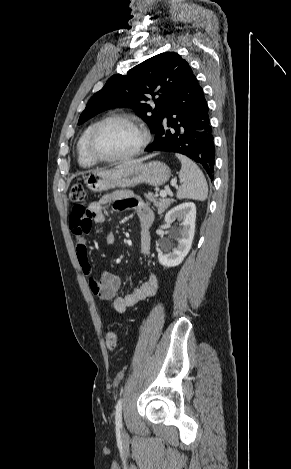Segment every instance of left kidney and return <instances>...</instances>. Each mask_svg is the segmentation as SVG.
I'll use <instances>...</instances> for the list:
<instances>
[{
	"label": "left kidney",
	"instance_id": "obj_1",
	"mask_svg": "<svg viewBox=\"0 0 291 469\" xmlns=\"http://www.w3.org/2000/svg\"><path fill=\"white\" fill-rule=\"evenodd\" d=\"M178 219L181 221V228L176 233V240L178 245L166 254L158 252L159 263L165 267L178 266L185 256L189 253L195 232V219H196V206L192 202L180 204L165 215V222L168 224Z\"/></svg>",
	"mask_w": 291,
	"mask_h": 469
}]
</instances>
